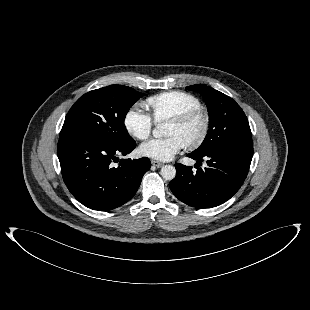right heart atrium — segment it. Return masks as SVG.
<instances>
[{
	"label": "right heart atrium",
	"instance_id": "d8ad5b80",
	"mask_svg": "<svg viewBox=\"0 0 310 310\" xmlns=\"http://www.w3.org/2000/svg\"><path fill=\"white\" fill-rule=\"evenodd\" d=\"M123 123L127 132L139 140L147 139L153 128L151 117L137 106H132L127 110Z\"/></svg>",
	"mask_w": 310,
	"mask_h": 310
}]
</instances>
